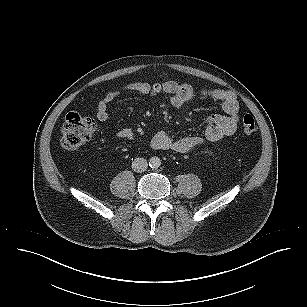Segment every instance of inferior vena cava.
<instances>
[{"mask_svg":"<svg viewBox=\"0 0 307 307\" xmlns=\"http://www.w3.org/2000/svg\"><path fill=\"white\" fill-rule=\"evenodd\" d=\"M147 167L148 163L144 158H136L132 163V169L138 173L146 171Z\"/></svg>","mask_w":307,"mask_h":307,"instance_id":"obj_1","label":"inferior vena cava"}]
</instances>
